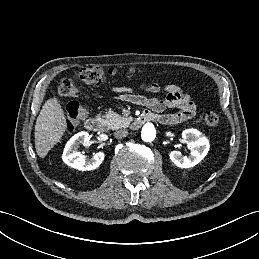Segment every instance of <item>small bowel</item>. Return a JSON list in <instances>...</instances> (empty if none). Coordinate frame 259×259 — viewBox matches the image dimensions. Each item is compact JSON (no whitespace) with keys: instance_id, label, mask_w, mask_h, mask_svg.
I'll use <instances>...</instances> for the list:
<instances>
[{"instance_id":"obj_1","label":"small bowel","mask_w":259,"mask_h":259,"mask_svg":"<svg viewBox=\"0 0 259 259\" xmlns=\"http://www.w3.org/2000/svg\"><path fill=\"white\" fill-rule=\"evenodd\" d=\"M142 88L149 93H158L161 89L157 83L142 85ZM167 96L164 100L149 98L144 95L132 93L129 88L117 87L115 92L119 101L145 106L150 113L155 115V120L162 124H177L192 118L196 114V105L189 94L179 86L170 84L165 87ZM167 108H177L175 113H163Z\"/></svg>"}]
</instances>
